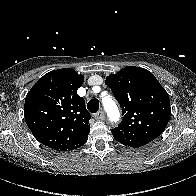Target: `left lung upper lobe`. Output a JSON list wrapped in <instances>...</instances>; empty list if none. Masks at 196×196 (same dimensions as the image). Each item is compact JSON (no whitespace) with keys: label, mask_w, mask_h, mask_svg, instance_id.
<instances>
[{"label":"left lung upper lobe","mask_w":196,"mask_h":196,"mask_svg":"<svg viewBox=\"0 0 196 196\" xmlns=\"http://www.w3.org/2000/svg\"><path fill=\"white\" fill-rule=\"evenodd\" d=\"M122 108L121 124L111 130L119 143L139 148L157 138L170 119L166 90L146 69L125 67L105 81Z\"/></svg>","instance_id":"5c2ea615"}]
</instances>
